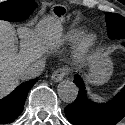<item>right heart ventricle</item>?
<instances>
[{
    "mask_svg": "<svg viewBox=\"0 0 125 125\" xmlns=\"http://www.w3.org/2000/svg\"><path fill=\"white\" fill-rule=\"evenodd\" d=\"M79 35V30L68 31L58 39L57 44L60 47L71 45L78 39Z\"/></svg>",
    "mask_w": 125,
    "mask_h": 125,
    "instance_id": "obj_1",
    "label": "right heart ventricle"
}]
</instances>
